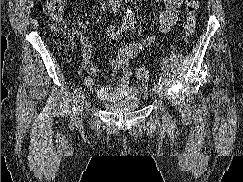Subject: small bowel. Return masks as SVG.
Instances as JSON below:
<instances>
[{
    "mask_svg": "<svg viewBox=\"0 0 243 182\" xmlns=\"http://www.w3.org/2000/svg\"><path fill=\"white\" fill-rule=\"evenodd\" d=\"M165 4V10L160 16V29L163 32L168 31L177 21V12L183 0H155ZM110 42L116 44L118 37L114 34L112 26L107 28ZM152 41V37H146L142 41H133L123 47H120L117 53L110 57L109 66L115 72H120L121 76L116 85L97 86L96 77L98 75L97 67L91 61L92 45L87 37H81L79 48L82 53L83 68L87 75L84 78V85L92 91H95L98 98L108 102H116L122 98L131 96L138 91V87L132 83V72L129 68V62L135 59L142 49Z\"/></svg>",
    "mask_w": 243,
    "mask_h": 182,
    "instance_id": "obj_1",
    "label": "small bowel"
}]
</instances>
